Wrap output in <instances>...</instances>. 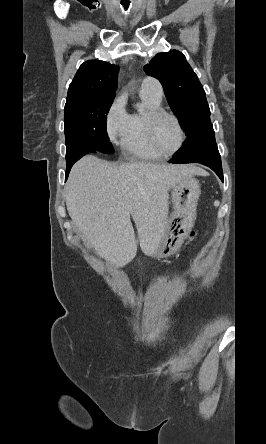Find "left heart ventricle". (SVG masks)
Masks as SVG:
<instances>
[{"label": "left heart ventricle", "instance_id": "1", "mask_svg": "<svg viewBox=\"0 0 266 444\" xmlns=\"http://www.w3.org/2000/svg\"><path fill=\"white\" fill-rule=\"evenodd\" d=\"M155 140L163 152H172L179 144V130L173 119L160 118L155 125Z\"/></svg>", "mask_w": 266, "mask_h": 444}]
</instances>
